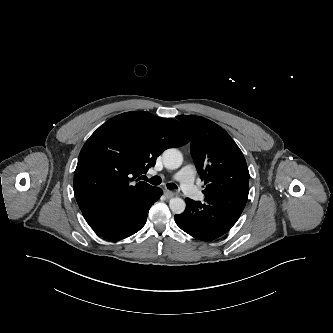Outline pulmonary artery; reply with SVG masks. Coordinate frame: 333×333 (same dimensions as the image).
<instances>
[{
	"label": "pulmonary artery",
	"mask_w": 333,
	"mask_h": 333,
	"mask_svg": "<svg viewBox=\"0 0 333 333\" xmlns=\"http://www.w3.org/2000/svg\"><path fill=\"white\" fill-rule=\"evenodd\" d=\"M173 179L180 181L182 190L193 198H200L201 193L195 186V168L193 165H186L173 175Z\"/></svg>",
	"instance_id": "e3ab8cb5"
}]
</instances>
